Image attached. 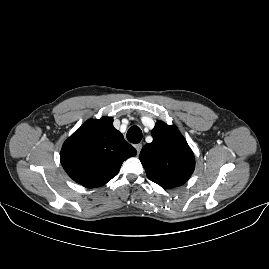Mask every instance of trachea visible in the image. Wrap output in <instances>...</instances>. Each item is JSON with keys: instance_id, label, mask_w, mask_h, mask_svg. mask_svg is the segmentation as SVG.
<instances>
[{"instance_id": "3493384b", "label": "trachea", "mask_w": 269, "mask_h": 269, "mask_svg": "<svg viewBox=\"0 0 269 269\" xmlns=\"http://www.w3.org/2000/svg\"><path fill=\"white\" fill-rule=\"evenodd\" d=\"M127 139L131 143H139L142 139V131L138 126H132L127 132Z\"/></svg>"}]
</instances>
